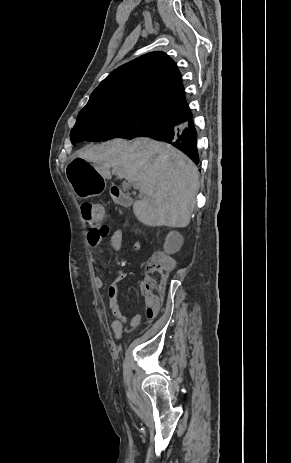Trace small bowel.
<instances>
[{
  "instance_id": "1",
  "label": "small bowel",
  "mask_w": 291,
  "mask_h": 463,
  "mask_svg": "<svg viewBox=\"0 0 291 463\" xmlns=\"http://www.w3.org/2000/svg\"><path fill=\"white\" fill-rule=\"evenodd\" d=\"M109 227L108 226H103L101 229L99 230H89L87 233H86V242L88 244L89 247L95 249V250H100L101 247H102V243L103 241L107 238V236L109 235ZM109 243H110V246L112 248L113 251H119L122 247V243H123V232L121 230H115L111 236H110V240H109ZM141 248V242L140 241H135L133 243V249L135 251H138L140 250ZM126 277V273L124 270L122 269H119L117 270L116 272V275H115V285H113L111 288H110V303L111 305H115V302H116V297H115V291H116V288H117V283L121 282L122 280H124ZM96 285L98 287H102L104 285V280L103 278L101 277H97L96 278ZM147 317L149 319H152L153 317L149 316L147 313H146ZM126 322V319L123 318V317H119L117 319H115L112 323V330H113V333L115 335L116 338H120L122 336V332H123V325L124 323ZM141 322V316L136 314V315H133L130 319V324L132 326H138Z\"/></svg>"
}]
</instances>
